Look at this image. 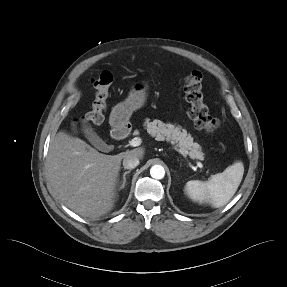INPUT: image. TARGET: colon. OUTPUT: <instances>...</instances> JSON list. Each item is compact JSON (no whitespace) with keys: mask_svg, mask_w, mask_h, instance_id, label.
<instances>
[{"mask_svg":"<svg viewBox=\"0 0 287 287\" xmlns=\"http://www.w3.org/2000/svg\"><path fill=\"white\" fill-rule=\"evenodd\" d=\"M203 76L198 71L189 72L184 79L185 98L189 103L188 115L194 126L208 134L215 133L221 125L218 118L211 115L202 89ZM95 97L91 110L83 117L88 124H101L105 117L113 76L109 71H102L91 78Z\"/></svg>","mask_w":287,"mask_h":287,"instance_id":"5ec220e1","label":"colon"}]
</instances>
